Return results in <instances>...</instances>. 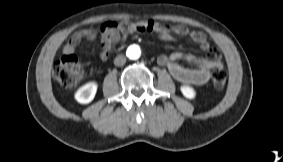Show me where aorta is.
I'll list each match as a JSON object with an SVG mask.
<instances>
[{
	"mask_svg": "<svg viewBox=\"0 0 283 162\" xmlns=\"http://www.w3.org/2000/svg\"><path fill=\"white\" fill-rule=\"evenodd\" d=\"M127 56L130 59H138L140 57V48L136 45H132L127 49Z\"/></svg>",
	"mask_w": 283,
	"mask_h": 162,
	"instance_id": "762f6f07",
	"label": "aorta"
}]
</instances>
